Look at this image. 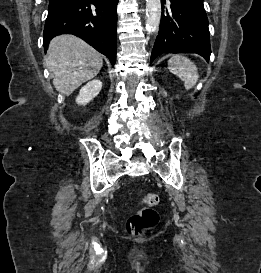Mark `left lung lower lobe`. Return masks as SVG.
I'll list each match as a JSON object with an SVG mask.
<instances>
[{
  "label": "left lung lower lobe",
  "mask_w": 261,
  "mask_h": 273,
  "mask_svg": "<svg viewBox=\"0 0 261 273\" xmlns=\"http://www.w3.org/2000/svg\"><path fill=\"white\" fill-rule=\"evenodd\" d=\"M164 53H197L209 61L210 36L203 0H162L150 63Z\"/></svg>",
  "instance_id": "obj_1"
}]
</instances>
